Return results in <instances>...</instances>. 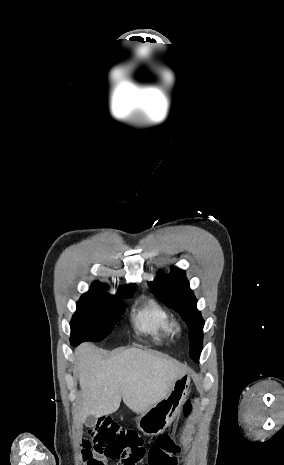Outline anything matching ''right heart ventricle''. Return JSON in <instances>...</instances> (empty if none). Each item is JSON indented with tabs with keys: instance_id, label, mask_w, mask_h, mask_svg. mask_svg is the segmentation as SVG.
<instances>
[{
	"instance_id": "right-heart-ventricle-1",
	"label": "right heart ventricle",
	"mask_w": 284,
	"mask_h": 465,
	"mask_svg": "<svg viewBox=\"0 0 284 465\" xmlns=\"http://www.w3.org/2000/svg\"><path fill=\"white\" fill-rule=\"evenodd\" d=\"M132 323L137 332L145 334L156 344H162L174 336L173 316L155 299L143 303L134 313Z\"/></svg>"
}]
</instances>
